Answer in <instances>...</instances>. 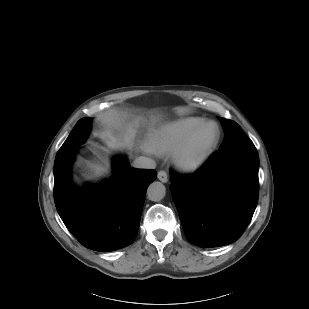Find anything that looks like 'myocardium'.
I'll return each mask as SVG.
<instances>
[{"instance_id":"f54148a6","label":"myocardium","mask_w":309,"mask_h":309,"mask_svg":"<svg viewBox=\"0 0 309 309\" xmlns=\"http://www.w3.org/2000/svg\"><path fill=\"white\" fill-rule=\"evenodd\" d=\"M208 126H213L216 130L214 138L208 143V145L197 155L190 156L188 150L199 135V133ZM221 138V129L219 125L214 121H205L197 125L191 130L186 137L177 145L172 153V160L174 165L181 171L193 172L201 168L211 157L216 149Z\"/></svg>"}]
</instances>
